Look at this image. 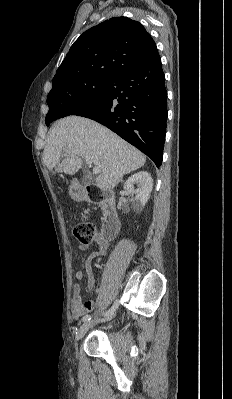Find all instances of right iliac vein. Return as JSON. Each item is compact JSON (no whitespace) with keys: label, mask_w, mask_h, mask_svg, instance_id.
Here are the masks:
<instances>
[{"label":"right iliac vein","mask_w":232,"mask_h":399,"mask_svg":"<svg viewBox=\"0 0 232 399\" xmlns=\"http://www.w3.org/2000/svg\"><path fill=\"white\" fill-rule=\"evenodd\" d=\"M109 319H113L112 316H104L102 317V319H98V322H105L108 321ZM97 320H94L93 324H87L84 323L83 326L80 327V329L78 330V332H76V337L75 340L76 341H81L83 338V335H85V333L87 332L88 329H92V327H94V325H96ZM75 345H78V342H75Z\"/></svg>","instance_id":"obj_1"}]
</instances>
